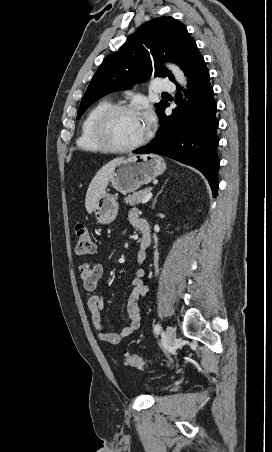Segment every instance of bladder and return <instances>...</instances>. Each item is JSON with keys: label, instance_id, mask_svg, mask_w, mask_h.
<instances>
[{"label": "bladder", "instance_id": "obj_1", "mask_svg": "<svg viewBox=\"0 0 272 452\" xmlns=\"http://www.w3.org/2000/svg\"><path fill=\"white\" fill-rule=\"evenodd\" d=\"M145 385H146L145 381H140V382L137 384V387L139 388V387H143V386H145Z\"/></svg>", "mask_w": 272, "mask_h": 452}]
</instances>
